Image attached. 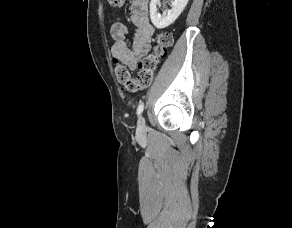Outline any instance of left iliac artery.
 <instances>
[{
	"instance_id": "1",
	"label": "left iliac artery",
	"mask_w": 292,
	"mask_h": 228,
	"mask_svg": "<svg viewBox=\"0 0 292 228\" xmlns=\"http://www.w3.org/2000/svg\"><path fill=\"white\" fill-rule=\"evenodd\" d=\"M143 109H144V104L141 103L138 108H137V115H141V113L143 112Z\"/></svg>"
}]
</instances>
